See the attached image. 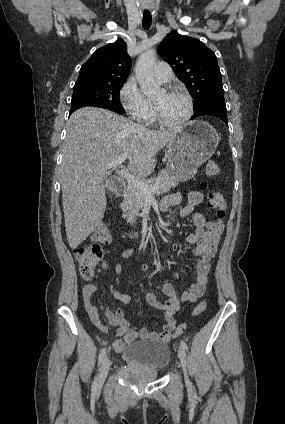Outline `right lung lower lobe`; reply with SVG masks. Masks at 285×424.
Here are the masks:
<instances>
[{
  "label": "right lung lower lobe",
  "instance_id": "1",
  "mask_svg": "<svg viewBox=\"0 0 285 424\" xmlns=\"http://www.w3.org/2000/svg\"><path fill=\"white\" fill-rule=\"evenodd\" d=\"M85 106H94V107H99V106H95V105H91V104H87V103H77V104H73V105H71V110H70V112H69V115H71L75 110H77V109H79V108H81V107H85ZM101 108H104V107H101ZM106 109H108V108H106ZM109 110H111V109H109ZM112 111H114V110H112ZM114 112H116V113H118V114H123L124 112H118V111H114Z\"/></svg>",
  "mask_w": 285,
  "mask_h": 424
}]
</instances>
